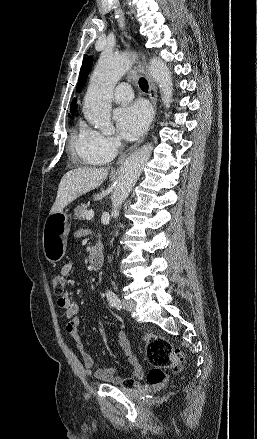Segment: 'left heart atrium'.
I'll return each instance as SVG.
<instances>
[{"label": "left heart atrium", "mask_w": 257, "mask_h": 439, "mask_svg": "<svg viewBox=\"0 0 257 439\" xmlns=\"http://www.w3.org/2000/svg\"><path fill=\"white\" fill-rule=\"evenodd\" d=\"M115 120L122 136L133 139L141 135L150 121V109L141 101L121 107L115 111Z\"/></svg>", "instance_id": "39dd6f15"}]
</instances>
